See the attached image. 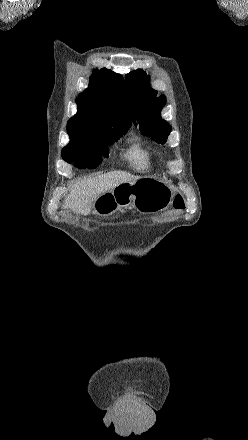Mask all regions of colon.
Instances as JSON below:
<instances>
[{
  "instance_id": "5ec220e1",
  "label": "colon",
  "mask_w": 248,
  "mask_h": 440,
  "mask_svg": "<svg viewBox=\"0 0 248 440\" xmlns=\"http://www.w3.org/2000/svg\"><path fill=\"white\" fill-rule=\"evenodd\" d=\"M174 207L177 209H181L184 207V200L181 195H177L174 200Z\"/></svg>"
}]
</instances>
